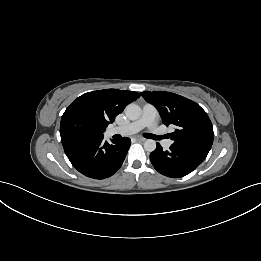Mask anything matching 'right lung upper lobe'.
<instances>
[{
  "mask_svg": "<svg viewBox=\"0 0 261 261\" xmlns=\"http://www.w3.org/2000/svg\"><path fill=\"white\" fill-rule=\"evenodd\" d=\"M140 95L133 91L104 89L85 93L74 100L62 117L74 111L92 115L105 128L115 120L124 108Z\"/></svg>",
  "mask_w": 261,
  "mask_h": 261,
  "instance_id": "cb5924a9",
  "label": "right lung upper lobe"
}]
</instances>
